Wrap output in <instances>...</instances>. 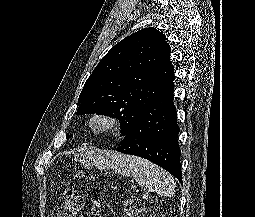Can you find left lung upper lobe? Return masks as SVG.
Listing matches in <instances>:
<instances>
[{
	"label": "left lung upper lobe",
	"mask_w": 255,
	"mask_h": 217,
	"mask_svg": "<svg viewBox=\"0 0 255 217\" xmlns=\"http://www.w3.org/2000/svg\"><path fill=\"white\" fill-rule=\"evenodd\" d=\"M170 52L165 35L153 27L121 40L85 82L77 115L96 113L118 118L121 134L125 136L150 103L174 80Z\"/></svg>",
	"instance_id": "obj_1"
}]
</instances>
